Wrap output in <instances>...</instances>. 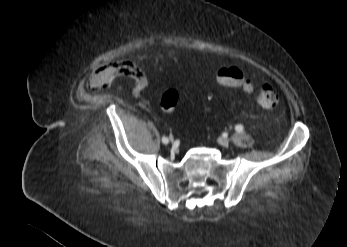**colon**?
Returning <instances> with one entry per match:
<instances>
[{"label": "colon", "instance_id": "colon-1", "mask_svg": "<svg viewBox=\"0 0 347 247\" xmlns=\"http://www.w3.org/2000/svg\"><path fill=\"white\" fill-rule=\"evenodd\" d=\"M217 81L225 87H234L246 92H252L254 86L243 73L235 68H223L217 73ZM181 93L176 88L168 89L161 97L160 104L165 111H173L179 104ZM257 104L263 109H272L278 103L276 86L269 81L261 82L256 89Z\"/></svg>", "mask_w": 347, "mask_h": 247}]
</instances>
